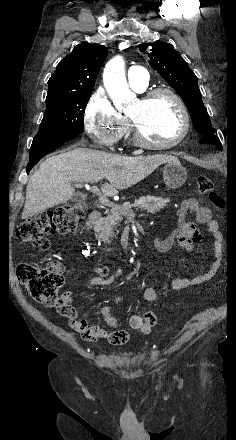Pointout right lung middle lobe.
<instances>
[{
	"instance_id": "right-lung-middle-lobe-1",
	"label": "right lung middle lobe",
	"mask_w": 236,
	"mask_h": 440,
	"mask_svg": "<svg viewBox=\"0 0 236 440\" xmlns=\"http://www.w3.org/2000/svg\"><path fill=\"white\" fill-rule=\"evenodd\" d=\"M90 93L79 94L71 99L46 103L37 137L80 134L84 131L83 116Z\"/></svg>"
}]
</instances>
